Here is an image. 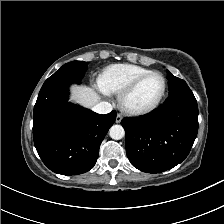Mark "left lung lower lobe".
<instances>
[{
    "label": "left lung lower lobe",
    "instance_id": "0a47b994",
    "mask_svg": "<svg viewBox=\"0 0 224 224\" xmlns=\"http://www.w3.org/2000/svg\"><path fill=\"white\" fill-rule=\"evenodd\" d=\"M126 153L131 164L160 173L181 163L198 132L197 101L188 86L169 93L165 103L148 116L124 118Z\"/></svg>",
    "mask_w": 224,
    "mask_h": 224
}]
</instances>
